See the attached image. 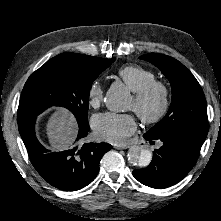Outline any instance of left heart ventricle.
<instances>
[{
  "label": "left heart ventricle",
  "mask_w": 221,
  "mask_h": 221,
  "mask_svg": "<svg viewBox=\"0 0 221 221\" xmlns=\"http://www.w3.org/2000/svg\"><path fill=\"white\" fill-rule=\"evenodd\" d=\"M158 106H159V97L157 95H153L145 104L143 109L147 114H152L157 110ZM128 108L129 109L135 108V101L133 98L131 99Z\"/></svg>",
  "instance_id": "1"
}]
</instances>
